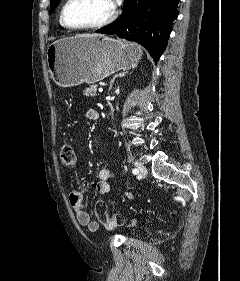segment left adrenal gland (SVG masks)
Listing matches in <instances>:
<instances>
[{"instance_id":"a2214340","label":"left adrenal gland","mask_w":240,"mask_h":281,"mask_svg":"<svg viewBox=\"0 0 240 281\" xmlns=\"http://www.w3.org/2000/svg\"><path fill=\"white\" fill-rule=\"evenodd\" d=\"M127 73H128V72L125 71V72H121V73H119V74L114 75V77H113V78L111 79V81H110L109 91L112 89V85H113L115 79L118 78V77H124Z\"/></svg>"}]
</instances>
